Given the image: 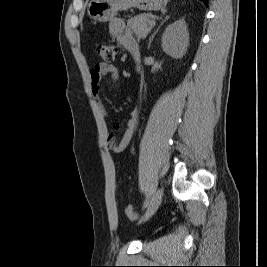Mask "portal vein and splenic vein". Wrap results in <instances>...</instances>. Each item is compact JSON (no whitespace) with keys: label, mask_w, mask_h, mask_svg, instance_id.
<instances>
[{"label":"portal vein and splenic vein","mask_w":267,"mask_h":267,"mask_svg":"<svg viewBox=\"0 0 267 267\" xmlns=\"http://www.w3.org/2000/svg\"><path fill=\"white\" fill-rule=\"evenodd\" d=\"M148 24H149V26H151V27H152V26H155L156 21H155V20H150Z\"/></svg>","instance_id":"portal-vein-and-splenic-vein-1"}]
</instances>
